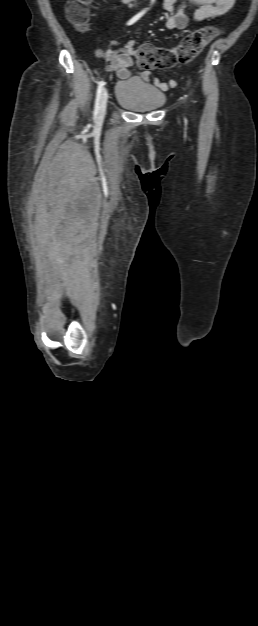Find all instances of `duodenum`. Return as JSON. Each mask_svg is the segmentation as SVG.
<instances>
[{"instance_id":"obj_1","label":"duodenum","mask_w":258,"mask_h":626,"mask_svg":"<svg viewBox=\"0 0 258 626\" xmlns=\"http://www.w3.org/2000/svg\"><path fill=\"white\" fill-rule=\"evenodd\" d=\"M122 1H124V2L128 3V2H131V1H133V0H122Z\"/></svg>"}]
</instances>
